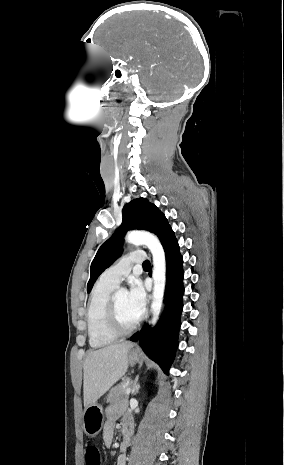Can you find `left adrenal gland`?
Listing matches in <instances>:
<instances>
[{"mask_svg": "<svg viewBox=\"0 0 284 465\" xmlns=\"http://www.w3.org/2000/svg\"><path fill=\"white\" fill-rule=\"evenodd\" d=\"M139 375L135 377L134 381H131L130 387H132V395H137L139 393L140 385H138Z\"/></svg>", "mask_w": 284, "mask_h": 465, "instance_id": "1", "label": "left adrenal gland"}]
</instances>
